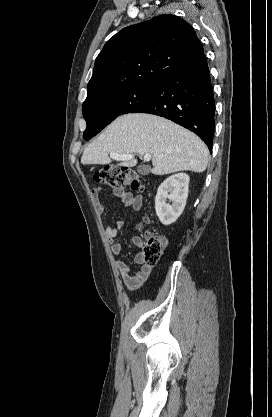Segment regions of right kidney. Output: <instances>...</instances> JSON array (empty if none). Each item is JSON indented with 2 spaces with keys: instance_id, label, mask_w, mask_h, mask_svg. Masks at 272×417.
<instances>
[{
  "instance_id": "right-kidney-1",
  "label": "right kidney",
  "mask_w": 272,
  "mask_h": 417,
  "mask_svg": "<svg viewBox=\"0 0 272 417\" xmlns=\"http://www.w3.org/2000/svg\"><path fill=\"white\" fill-rule=\"evenodd\" d=\"M189 176L178 173L168 177L157 190L155 197L156 214L163 225L174 223L182 214L188 197ZM172 201V205L167 203Z\"/></svg>"
}]
</instances>
